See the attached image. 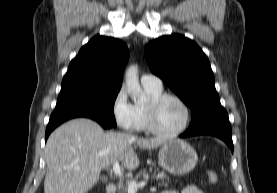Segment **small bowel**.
I'll use <instances>...</instances> for the list:
<instances>
[{
  "instance_id": "obj_1",
  "label": "small bowel",
  "mask_w": 277,
  "mask_h": 193,
  "mask_svg": "<svg viewBox=\"0 0 277 193\" xmlns=\"http://www.w3.org/2000/svg\"><path fill=\"white\" fill-rule=\"evenodd\" d=\"M162 193H204L200 188L195 185H187L182 190H165Z\"/></svg>"
}]
</instances>
